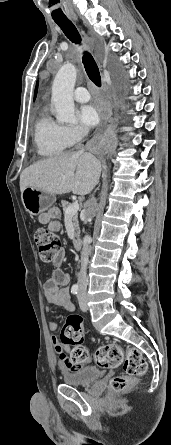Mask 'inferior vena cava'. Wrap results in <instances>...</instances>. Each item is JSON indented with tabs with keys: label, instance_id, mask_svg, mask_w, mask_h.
Returning a JSON list of instances; mask_svg holds the SVG:
<instances>
[{
	"label": "inferior vena cava",
	"instance_id": "obj_1",
	"mask_svg": "<svg viewBox=\"0 0 171 445\" xmlns=\"http://www.w3.org/2000/svg\"><path fill=\"white\" fill-rule=\"evenodd\" d=\"M81 133L83 136H86L88 131L83 129L81 131ZM80 152H83V150H81ZM90 242H91V237L86 235L83 239V249L81 252V270L78 275L79 292H83V293H86L87 285H88L86 269H87V265H88V261H89V253H90L89 244H90Z\"/></svg>",
	"mask_w": 171,
	"mask_h": 445
}]
</instances>
